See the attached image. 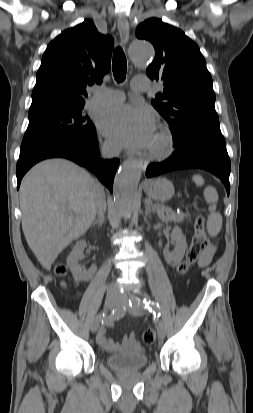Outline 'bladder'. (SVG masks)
I'll return each instance as SVG.
<instances>
[{"label": "bladder", "instance_id": "bladder-1", "mask_svg": "<svg viewBox=\"0 0 253 413\" xmlns=\"http://www.w3.org/2000/svg\"><path fill=\"white\" fill-rule=\"evenodd\" d=\"M107 365L117 371L130 372L144 368L148 357L142 348L134 351L112 354L106 357Z\"/></svg>", "mask_w": 253, "mask_h": 413}]
</instances>
